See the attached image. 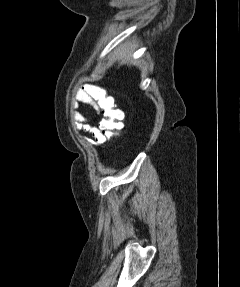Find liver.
Here are the masks:
<instances>
[{
  "label": "liver",
  "mask_w": 240,
  "mask_h": 287,
  "mask_svg": "<svg viewBox=\"0 0 240 287\" xmlns=\"http://www.w3.org/2000/svg\"><path fill=\"white\" fill-rule=\"evenodd\" d=\"M119 56L120 58L126 59L124 51H119Z\"/></svg>",
  "instance_id": "6515ba94"
}]
</instances>
